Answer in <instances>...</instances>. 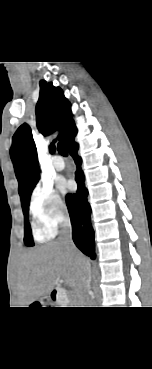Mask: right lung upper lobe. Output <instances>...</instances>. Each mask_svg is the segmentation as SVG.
Wrapping results in <instances>:
<instances>
[{
	"label": "right lung upper lobe",
	"instance_id": "cb5924a9",
	"mask_svg": "<svg viewBox=\"0 0 152 369\" xmlns=\"http://www.w3.org/2000/svg\"><path fill=\"white\" fill-rule=\"evenodd\" d=\"M37 128L44 135L60 130L58 139H62L68 146L77 133L72 119L70 103L64 97L59 87L52 83L40 82V97L36 106ZM55 142V140H54ZM50 153L55 150L53 144L49 147ZM10 156L14 165L19 183L18 192L21 202H24L27 193L39 180L37 150L30 127L24 123L15 132L12 138Z\"/></svg>",
	"mask_w": 152,
	"mask_h": 369
}]
</instances>
